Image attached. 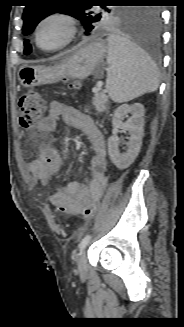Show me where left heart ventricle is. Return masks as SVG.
Here are the masks:
<instances>
[{"label": "left heart ventricle", "mask_w": 184, "mask_h": 327, "mask_svg": "<svg viewBox=\"0 0 184 327\" xmlns=\"http://www.w3.org/2000/svg\"><path fill=\"white\" fill-rule=\"evenodd\" d=\"M66 34L67 27L64 22L50 20L41 26L39 30V42L44 47H54L65 39Z\"/></svg>", "instance_id": "1"}]
</instances>
